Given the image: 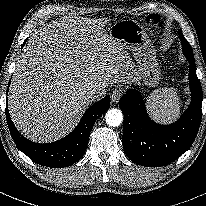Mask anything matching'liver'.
<instances>
[{
  "label": "liver",
  "mask_w": 206,
  "mask_h": 206,
  "mask_svg": "<svg viewBox=\"0 0 206 206\" xmlns=\"http://www.w3.org/2000/svg\"><path fill=\"white\" fill-rule=\"evenodd\" d=\"M105 23L65 16L31 35L8 96L11 119L25 137L42 143L58 140L92 104L91 90L135 82L134 62L103 30Z\"/></svg>",
  "instance_id": "6515ba94"
}]
</instances>
